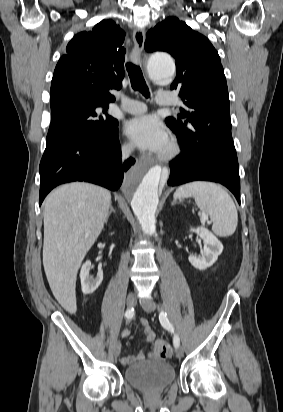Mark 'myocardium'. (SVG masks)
<instances>
[{
  "label": "myocardium",
  "instance_id": "obj_1",
  "mask_svg": "<svg viewBox=\"0 0 283 412\" xmlns=\"http://www.w3.org/2000/svg\"><path fill=\"white\" fill-rule=\"evenodd\" d=\"M180 152L178 142L174 138H170L167 148L158 154V159L162 161H169L175 158Z\"/></svg>",
  "mask_w": 283,
  "mask_h": 412
}]
</instances>
